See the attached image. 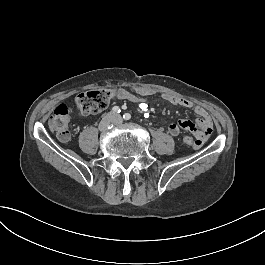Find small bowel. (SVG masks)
<instances>
[{
    "label": "small bowel",
    "instance_id": "obj_1",
    "mask_svg": "<svg viewBox=\"0 0 265 265\" xmlns=\"http://www.w3.org/2000/svg\"><path fill=\"white\" fill-rule=\"evenodd\" d=\"M113 91L118 99L134 102L140 106L147 104L152 97L157 95L154 89L141 86L132 87L129 90L115 88ZM161 98L170 105L191 110L196 114L197 118L194 121L182 119L171 123L168 126V133L173 137H177L182 130L191 132L199 142L194 144V149L200 150L201 144L207 141L212 132V120L208 111L191 100L180 96L163 93Z\"/></svg>",
    "mask_w": 265,
    "mask_h": 265
}]
</instances>
